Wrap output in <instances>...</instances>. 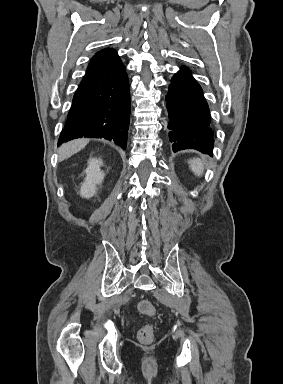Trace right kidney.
Masks as SVG:
<instances>
[{"instance_id": "ca27d5eb", "label": "right kidney", "mask_w": 283, "mask_h": 384, "mask_svg": "<svg viewBox=\"0 0 283 384\" xmlns=\"http://www.w3.org/2000/svg\"><path fill=\"white\" fill-rule=\"evenodd\" d=\"M88 164L89 166L87 170H85V182H83L80 190V196H82V198H92V196L96 194L97 184H101L105 176L100 170V166H103L101 160L92 158V160H89Z\"/></svg>"}]
</instances>
